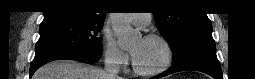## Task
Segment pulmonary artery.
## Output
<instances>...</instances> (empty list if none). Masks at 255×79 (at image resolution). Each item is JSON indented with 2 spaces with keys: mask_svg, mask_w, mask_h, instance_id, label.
<instances>
[{
  "mask_svg": "<svg viewBox=\"0 0 255 79\" xmlns=\"http://www.w3.org/2000/svg\"><path fill=\"white\" fill-rule=\"evenodd\" d=\"M128 21L133 24L145 26L151 22V14H148V13H146V14H131V15H129Z\"/></svg>",
  "mask_w": 255,
  "mask_h": 79,
  "instance_id": "pulmonary-artery-1",
  "label": "pulmonary artery"
}]
</instances>
